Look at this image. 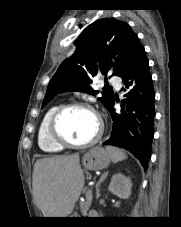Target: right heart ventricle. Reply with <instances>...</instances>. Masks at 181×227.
<instances>
[{"label":"right heart ventricle","mask_w":181,"mask_h":227,"mask_svg":"<svg viewBox=\"0 0 181 227\" xmlns=\"http://www.w3.org/2000/svg\"><path fill=\"white\" fill-rule=\"evenodd\" d=\"M57 108L58 106L55 105L45 112L38 129V145L42 151L47 153H58L63 150L62 146L51 139L48 131L49 121Z\"/></svg>","instance_id":"1"}]
</instances>
